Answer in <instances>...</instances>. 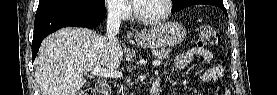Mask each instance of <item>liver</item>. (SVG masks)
<instances>
[{
  "label": "liver",
  "instance_id": "obj_1",
  "mask_svg": "<svg viewBox=\"0 0 277 95\" xmlns=\"http://www.w3.org/2000/svg\"><path fill=\"white\" fill-rule=\"evenodd\" d=\"M123 59L119 43L87 28L66 27L46 37L35 59L34 76L41 95H76L86 80L83 74L96 66L113 69Z\"/></svg>",
  "mask_w": 277,
  "mask_h": 95
}]
</instances>
